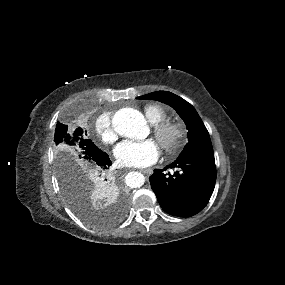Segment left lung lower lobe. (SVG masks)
I'll list each match as a JSON object with an SVG mask.
<instances>
[{"mask_svg": "<svg viewBox=\"0 0 285 285\" xmlns=\"http://www.w3.org/2000/svg\"><path fill=\"white\" fill-rule=\"evenodd\" d=\"M176 170L165 173L166 169ZM216 182L213 150L194 152L177 158L168 167L155 169L150 184L160 206L173 216L189 217L209 202Z\"/></svg>", "mask_w": 285, "mask_h": 285, "instance_id": "left-lung-lower-lobe-1", "label": "left lung lower lobe"}]
</instances>
